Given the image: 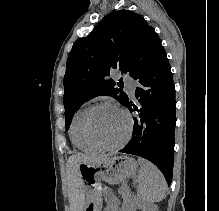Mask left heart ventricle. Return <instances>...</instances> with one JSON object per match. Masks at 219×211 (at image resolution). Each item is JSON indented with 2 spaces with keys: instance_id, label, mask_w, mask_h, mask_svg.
<instances>
[{
  "instance_id": "left-heart-ventricle-1",
  "label": "left heart ventricle",
  "mask_w": 219,
  "mask_h": 211,
  "mask_svg": "<svg viewBox=\"0 0 219 211\" xmlns=\"http://www.w3.org/2000/svg\"><path fill=\"white\" fill-rule=\"evenodd\" d=\"M126 128L125 117L115 108L100 107L92 115L91 130L100 142L117 143L125 134Z\"/></svg>"
}]
</instances>
